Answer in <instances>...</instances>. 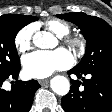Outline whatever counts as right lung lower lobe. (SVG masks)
<instances>
[{"mask_svg": "<svg viewBox=\"0 0 112 112\" xmlns=\"http://www.w3.org/2000/svg\"><path fill=\"white\" fill-rule=\"evenodd\" d=\"M21 66L18 64L8 73L0 76V112H29L34 94L38 88L39 83L36 80L27 82L18 81V76ZM15 79L16 82L11 86L10 91L2 88V84L6 79Z\"/></svg>", "mask_w": 112, "mask_h": 112, "instance_id": "98d812e1", "label": "right lung lower lobe"}]
</instances>
